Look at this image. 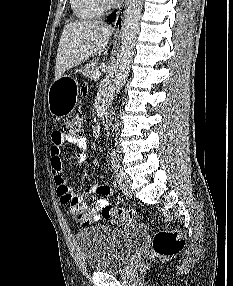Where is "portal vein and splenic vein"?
Returning a JSON list of instances; mask_svg holds the SVG:
<instances>
[{"label": "portal vein and splenic vein", "mask_w": 233, "mask_h": 286, "mask_svg": "<svg viewBox=\"0 0 233 286\" xmlns=\"http://www.w3.org/2000/svg\"><path fill=\"white\" fill-rule=\"evenodd\" d=\"M99 77H100V72H97L93 75L94 79H99Z\"/></svg>", "instance_id": "1"}]
</instances>
